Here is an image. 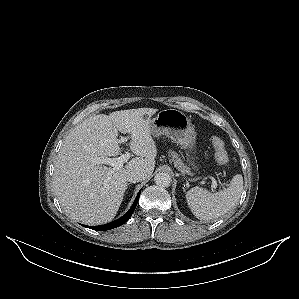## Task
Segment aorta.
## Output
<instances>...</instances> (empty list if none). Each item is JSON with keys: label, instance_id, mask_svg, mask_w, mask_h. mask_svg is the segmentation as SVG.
Instances as JSON below:
<instances>
[{"label": "aorta", "instance_id": "762f6f07", "mask_svg": "<svg viewBox=\"0 0 299 299\" xmlns=\"http://www.w3.org/2000/svg\"><path fill=\"white\" fill-rule=\"evenodd\" d=\"M155 183L159 187H169L171 184V176L167 172H159L154 177Z\"/></svg>", "mask_w": 299, "mask_h": 299}]
</instances>
